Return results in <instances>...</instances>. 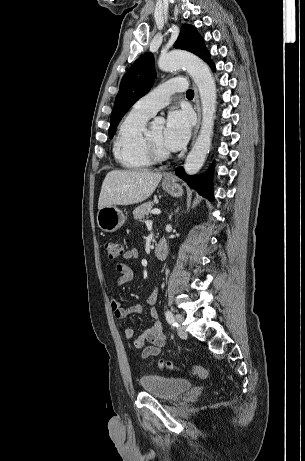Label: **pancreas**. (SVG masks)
<instances>
[{"label": "pancreas", "instance_id": "1", "mask_svg": "<svg viewBox=\"0 0 305 461\" xmlns=\"http://www.w3.org/2000/svg\"><path fill=\"white\" fill-rule=\"evenodd\" d=\"M154 202H146L138 206L133 211V216L135 220L142 221L146 216H148L149 212L153 208Z\"/></svg>", "mask_w": 305, "mask_h": 461}]
</instances>
